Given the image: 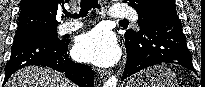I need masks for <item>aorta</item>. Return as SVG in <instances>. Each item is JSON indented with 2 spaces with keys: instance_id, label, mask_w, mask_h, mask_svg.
<instances>
[{
  "instance_id": "762f6f07",
  "label": "aorta",
  "mask_w": 205,
  "mask_h": 87,
  "mask_svg": "<svg viewBox=\"0 0 205 87\" xmlns=\"http://www.w3.org/2000/svg\"><path fill=\"white\" fill-rule=\"evenodd\" d=\"M117 81H118V79H117L116 75H112L105 82L104 87H117Z\"/></svg>"
}]
</instances>
